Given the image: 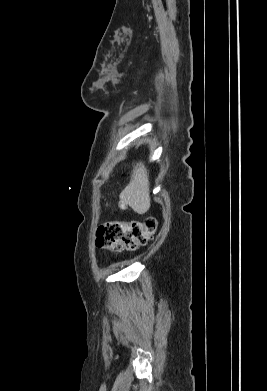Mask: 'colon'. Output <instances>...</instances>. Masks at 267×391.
Masks as SVG:
<instances>
[{
    "instance_id": "1",
    "label": "colon",
    "mask_w": 267,
    "mask_h": 391,
    "mask_svg": "<svg viewBox=\"0 0 267 391\" xmlns=\"http://www.w3.org/2000/svg\"><path fill=\"white\" fill-rule=\"evenodd\" d=\"M157 222L150 217L130 222L110 221L97 231V245L114 250H135L154 235Z\"/></svg>"
}]
</instances>
